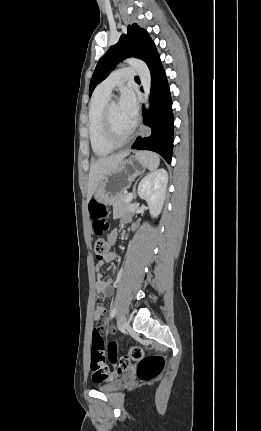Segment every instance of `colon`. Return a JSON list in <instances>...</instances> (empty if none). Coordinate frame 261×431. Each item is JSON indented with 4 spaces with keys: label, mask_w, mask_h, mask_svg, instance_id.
<instances>
[{
    "label": "colon",
    "mask_w": 261,
    "mask_h": 431,
    "mask_svg": "<svg viewBox=\"0 0 261 431\" xmlns=\"http://www.w3.org/2000/svg\"><path fill=\"white\" fill-rule=\"evenodd\" d=\"M90 213L94 219L93 227L97 235H101L107 228L108 223L102 219L105 215V208L97 202L90 204ZM111 253L109 243L99 237L94 242V255L101 261L106 255ZM97 327L93 331V344L91 351V380L96 386L107 381L117 382L120 373L129 370L131 361H137L138 377L142 381H152L157 378L163 370L165 360L160 355L145 356V351L141 347H131L126 356H119L117 343L111 342L107 347L108 359L114 365H106L105 347L102 335H98Z\"/></svg>",
    "instance_id": "obj_1"
}]
</instances>
